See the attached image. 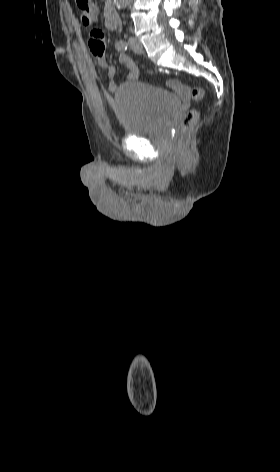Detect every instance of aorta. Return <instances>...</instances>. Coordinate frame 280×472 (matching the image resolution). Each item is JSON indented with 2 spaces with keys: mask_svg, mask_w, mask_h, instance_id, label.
<instances>
[{
  "mask_svg": "<svg viewBox=\"0 0 280 472\" xmlns=\"http://www.w3.org/2000/svg\"><path fill=\"white\" fill-rule=\"evenodd\" d=\"M130 0H114V3L117 8L121 9L127 6Z\"/></svg>",
  "mask_w": 280,
  "mask_h": 472,
  "instance_id": "1",
  "label": "aorta"
}]
</instances>
